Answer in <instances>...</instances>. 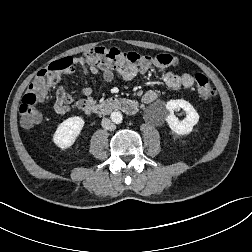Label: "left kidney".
I'll use <instances>...</instances> for the list:
<instances>
[{"mask_svg": "<svg viewBox=\"0 0 252 252\" xmlns=\"http://www.w3.org/2000/svg\"><path fill=\"white\" fill-rule=\"evenodd\" d=\"M180 108L186 112V118L181 121L174 115V111ZM166 109L168 111L166 121L170 129L176 134H189L199 121V115L196 110L189 102L183 99L168 101L166 103Z\"/></svg>", "mask_w": 252, "mask_h": 252, "instance_id": "obj_1", "label": "left kidney"}]
</instances>
